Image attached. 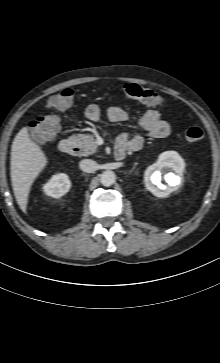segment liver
Instances as JSON below:
<instances>
[{
	"label": "liver",
	"mask_w": 220,
	"mask_h": 363,
	"mask_svg": "<svg viewBox=\"0 0 220 363\" xmlns=\"http://www.w3.org/2000/svg\"><path fill=\"white\" fill-rule=\"evenodd\" d=\"M47 157L23 127L15 136L11 146V182L20 209L26 213L31 186L47 165Z\"/></svg>",
	"instance_id": "6515ba94"
}]
</instances>
